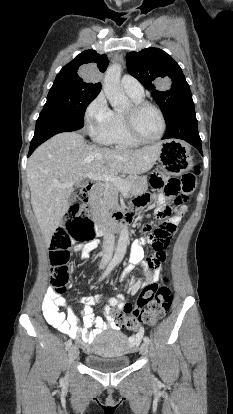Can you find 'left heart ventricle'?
<instances>
[{"label":"left heart ventricle","mask_w":233,"mask_h":414,"mask_svg":"<svg viewBox=\"0 0 233 414\" xmlns=\"http://www.w3.org/2000/svg\"><path fill=\"white\" fill-rule=\"evenodd\" d=\"M129 107L125 112H129ZM135 124L138 132L147 139H153L159 135L162 127L161 118L158 112L147 108L139 112L135 117Z\"/></svg>","instance_id":"b2bd125f"}]
</instances>
